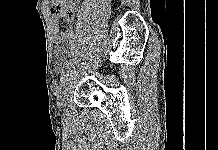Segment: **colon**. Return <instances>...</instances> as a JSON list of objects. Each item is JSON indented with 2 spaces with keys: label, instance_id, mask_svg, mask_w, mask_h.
I'll return each instance as SVG.
<instances>
[{
  "label": "colon",
  "instance_id": "obj_1",
  "mask_svg": "<svg viewBox=\"0 0 218 150\" xmlns=\"http://www.w3.org/2000/svg\"><path fill=\"white\" fill-rule=\"evenodd\" d=\"M67 0H52L51 10L52 11H59L64 7Z\"/></svg>",
  "mask_w": 218,
  "mask_h": 150
}]
</instances>
